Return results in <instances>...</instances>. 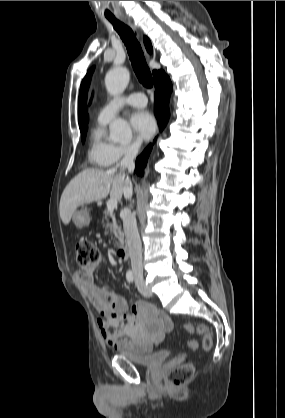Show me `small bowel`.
<instances>
[{"mask_svg":"<svg viewBox=\"0 0 285 418\" xmlns=\"http://www.w3.org/2000/svg\"><path fill=\"white\" fill-rule=\"evenodd\" d=\"M104 262L103 257L82 267L75 273L96 312V322L103 339L114 349H154L159 346L166 333L173 328V322L153 304L139 302L128 313V304L115 289L100 286L94 282L95 271ZM188 348L195 351L198 343L188 342Z\"/></svg>","mask_w":285,"mask_h":418,"instance_id":"obj_1","label":"small bowel"}]
</instances>
